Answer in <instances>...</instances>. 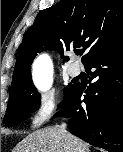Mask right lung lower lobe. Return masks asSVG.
<instances>
[{"instance_id":"right-lung-lower-lobe-1","label":"right lung lower lobe","mask_w":123,"mask_h":152,"mask_svg":"<svg viewBox=\"0 0 123 152\" xmlns=\"http://www.w3.org/2000/svg\"><path fill=\"white\" fill-rule=\"evenodd\" d=\"M90 74L84 91L75 86L56 114L70 118L69 131L109 152H123V38L95 54L85 65Z\"/></svg>"}]
</instances>
